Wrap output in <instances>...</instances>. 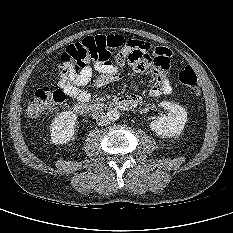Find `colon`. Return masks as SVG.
I'll return each mask as SVG.
<instances>
[{
	"label": "colon",
	"instance_id": "obj_1",
	"mask_svg": "<svg viewBox=\"0 0 233 233\" xmlns=\"http://www.w3.org/2000/svg\"><path fill=\"white\" fill-rule=\"evenodd\" d=\"M134 44H136L135 40L120 35L85 38L80 42L69 45L61 53L59 59L60 71H79L92 63L121 66ZM178 78L183 85L195 94L200 93V82L192 67L186 66L179 73ZM64 100L65 93L62 89H50L48 87L38 89L30 98L27 114L31 117L39 116Z\"/></svg>",
	"mask_w": 233,
	"mask_h": 233
}]
</instances>
